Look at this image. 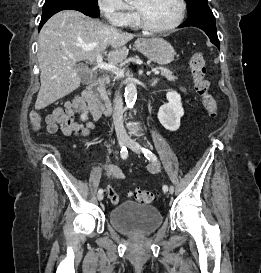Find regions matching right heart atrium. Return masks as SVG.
I'll return each mask as SVG.
<instances>
[{
	"label": "right heart atrium",
	"mask_w": 261,
	"mask_h": 273,
	"mask_svg": "<svg viewBox=\"0 0 261 273\" xmlns=\"http://www.w3.org/2000/svg\"><path fill=\"white\" fill-rule=\"evenodd\" d=\"M98 5L104 18L113 26H127L134 14L124 0H98Z\"/></svg>",
	"instance_id": "1"
}]
</instances>
